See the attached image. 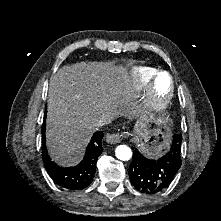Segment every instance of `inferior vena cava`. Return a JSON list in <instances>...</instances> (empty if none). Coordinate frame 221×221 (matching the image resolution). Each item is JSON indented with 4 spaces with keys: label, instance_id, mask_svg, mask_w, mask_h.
Returning <instances> with one entry per match:
<instances>
[{
    "label": "inferior vena cava",
    "instance_id": "obj_1",
    "mask_svg": "<svg viewBox=\"0 0 221 221\" xmlns=\"http://www.w3.org/2000/svg\"><path fill=\"white\" fill-rule=\"evenodd\" d=\"M112 120H113V117H112V116L105 115V116H102V117L96 122L95 125H96L97 127H101V126L110 124Z\"/></svg>",
    "mask_w": 221,
    "mask_h": 221
}]
</instances>
